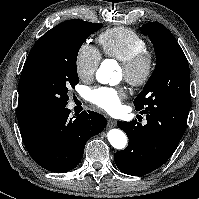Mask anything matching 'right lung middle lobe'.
<instances>
[{"label": "right lung middle lobe", "instance_id": "obj_1", "mask_svg": "<svg viewBox=\"0 0 199 199\" xmlns=\"http://www.w3.org/2000/svg\"><path fill=\"white\" fill-rule=\"evenodd\" d=\"M101 27L102 24L71 19L39 38L22 69L18 106L41 117L66 107L68 91L79 82L78 51Z\"/></svg>", "mask_w": 199, "mask_h": 199}]
</instances>
